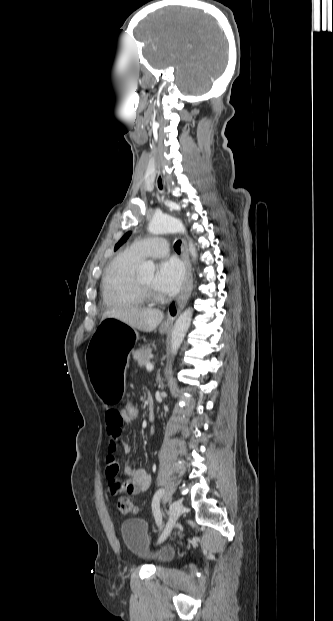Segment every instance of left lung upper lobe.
<instances>
[{
	"label": "left lung upper lobe",
	"mask_w": 333,
	"mask_h": 621,
	"mask_svg": "<svg viewBox=\"0 0 333 621\" xmlns=\"http://www.w3.org/2000/svg\"><path fill=\"white\" fill-rule=\"evenodd\" d=\"M131 232H127L123 235V237L119 240V242L115 245L114 251H116L121 245H123L126 240L129 238Z\"/></svg>",
	"instance_id": "left-lung-upper-lobe-1"
}]
</instances>
